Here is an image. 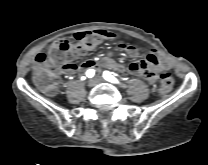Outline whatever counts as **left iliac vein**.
<instances>
[{
    "label": "left iliac vein",
    "instance_id": "obj_1",
    "mask_svg": "<svg viewBox=\"0 0 208 165\" xmlns=\"http://www.w3.org/2000/svg\"><path fill=\"white\" fill-rule=\"evenodd\" d=\"M95 80L97 81V83H102V82H104V79L101 78V77H97V78H95Z\"/></svg>",
    "mask_w": 208,
    "mask_h": 165
}]
</instances>
